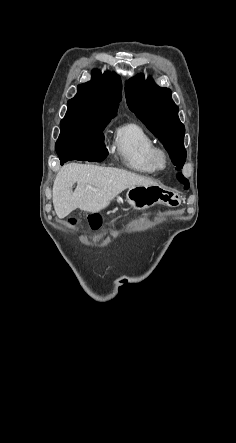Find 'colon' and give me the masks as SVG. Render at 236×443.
Wrapping results in <instances>:
<instances>
[{"instance_id":"5ec220e1","label":"colon","mask_w":236,"mask_h":443,"mask_svg":"<svg viewBox=\"0 0 236 443\" xmlns=\"http://www.w3.org/2000/svg\"><path fill=\"white\" fill-rule=\"evenodd\" d=\"M87 219H88V221H89V223H90L91 225H96V223H97V217H96L95 214H89V215L87 216ZM71 221H72V223L75 222L74 219H72Z\"/></svg>"}]
</instances>
